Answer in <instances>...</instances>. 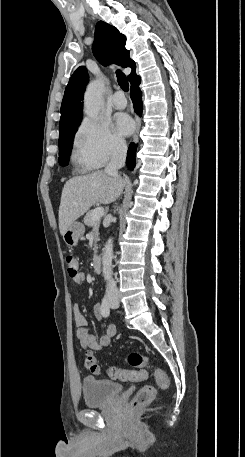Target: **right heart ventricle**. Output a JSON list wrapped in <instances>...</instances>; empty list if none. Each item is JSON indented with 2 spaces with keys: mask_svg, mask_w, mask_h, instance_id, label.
I'll return each mask as SVG.
<instances>
[{
  "mask_svg": "<svg viewBox=\"0 0 245 457\" xmlns=\"http://www.w3.org/2000/svg\"><path fill=\"white\" fill-rule=\"evenodd\" d=\"M75 154L78 157V159L81 162H83L87 167L93 168L98 165L92 158L89 157L83 146L79 145L77 141L75 143Z\"/></svg>",
  "mask_w": 245,
  "mask_h": 457,
  "instance_id": "1",
  "label": "right heart ventricle"
}]
</instances>
